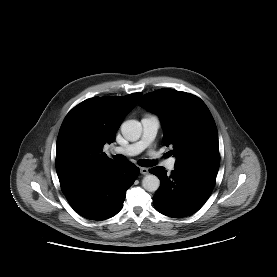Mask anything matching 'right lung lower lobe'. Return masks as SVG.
<instances>
[{
    "label": "right lung lower lobe",
    "instance_id": "right-lung-lower-lobe-1",
    "mask_svg": "<svg viewBox=\"0 0 277 277\" xmlns=\"http://www.w3.org/2000/svg\"><path fill=\"white\" fill-rule=\"evenodd\" d=\"M139 168L127 162L108 164L61 185L72 208L90 220H105L122 208L126 191L139 175Z\"/></svg>",
    "mask_w": 277,
    "mask_h": 277
}]
</instances>
